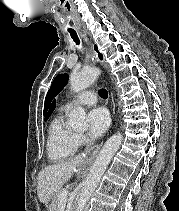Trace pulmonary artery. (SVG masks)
<instances>
[{"instance_id": "e3ab8cb5", "label": "pulmonary artery", "mask_w": 179, "mask_h": 211, "mask_svg": "<svg viewBox=\"0 0 179 211\" xmlns=\"http://www.w3.org/2000/svg\"><path fill=\"white\" fill-rule=\"evenodd\" d=\"M97 101L95 93L92 91H84L81 94H79L75 99L69 101L64 105L65 109H70L74 105H94Z\"/></svg>"}]
</instances>
